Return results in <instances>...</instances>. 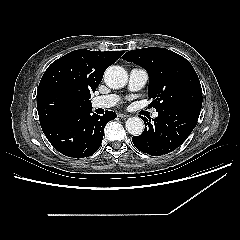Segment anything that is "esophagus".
Listing matches in <instances>:
<instances>
[{
	"label": "esophagus",
	"mask_w": 240,
	"mask_h": 240,
	"mask_svg": "<svg viewBox=\"0 0 240 240\" xmlns=\"http://www.w3.org/2000/svg\"><path fill=\"white\" fill-rule=\"evenodd\" d=\"M118 117H120V118H128L129 115L128 114H123V113H118Z\"/></svg>",
	"instance_id": "obj_1"
}]
</instances>
